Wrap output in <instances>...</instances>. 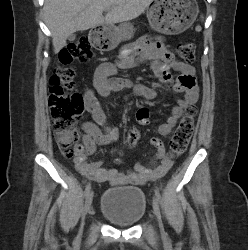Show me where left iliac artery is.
Segmentation results:
<instances>
[{"mask_svg":"<svg viewBox=\"0 0 248 250\" xmlns=\"http://www.w3.org/2000/svg\"><path fill=\"white\" fill-rule=\"evenodd\" d=\"M155 196H156V199H157V200L159 201V203L161 204V203H162V200H161V195H160L158 189H155Z\"/></svg>","mask_w":248,"mask_h":250,"instance_id":"obj_1","label":"left iliac artery"}]
</instances>
